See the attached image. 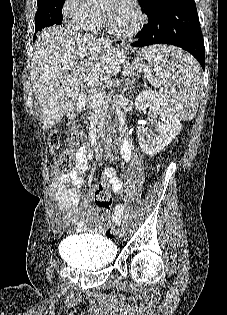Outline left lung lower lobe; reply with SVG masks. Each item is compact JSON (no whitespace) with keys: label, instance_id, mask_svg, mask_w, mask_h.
Returning a JSON list of instances; mask_svg holds the SVG:
<instances>
[{"label":"left lung lower lobe","instance_id":"obj_1","mask_svg":"<svg viewBox=\"0 0 227 315\" xmlns=\"http://www.w3.org/2000/svg\"><path fill=\"white\" fill-rule=\"evenodd\" d=\"M148 16L133 47L171 44L191 53L205 70V48L194 0H173Z\"/></svg>","mask_w":227,"mask_h":315}]
</instances>
